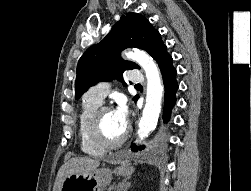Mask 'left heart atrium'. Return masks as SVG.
<instances>
[{
	"label": "left heart atrium",
	"mask_w": 251,
	"mask_h": 191,
	"mask_svg": "<svg viewBox=\"0 0 251 191\" xmlns=\"http://www.w3.org/2000/svg\"><path fill=\"white\" fill-rule=\"evenodd\" d=\"M112 115L116 120L117 124L125 129L128 122V108L125 104H118L112 111Z\"/></svg>",
	"instance_id": "left-heart-atrium-1"
}]
</instances>
